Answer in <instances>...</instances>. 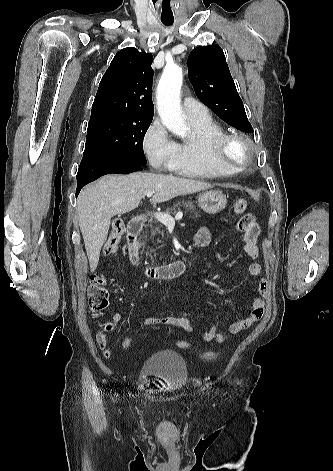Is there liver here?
I'll use <instances>...</instances> for the list:
<instances>
[{"label":"liver","instance_id":"1","mask_svg":"<svg viewBox=\"0 0 333 471\" xmlns=\"http://www.w3.org/2000/svg\"><path fill=\"white\" fill-rule=\"evenodd\" d=\"M211 187L202 181L155 173L106 175L85 187L77 199V215L91 272L98 265L113 216L137 208L149 191L154 192L150 201L161 203Z\"/></svg>","mask_w":333,"mask_h":471}]
</instances>
